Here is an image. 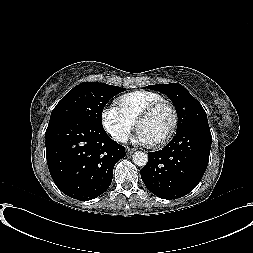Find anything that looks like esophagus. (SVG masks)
Listing matches in <instances>:
<instances>
[{"label": "esophagus", "instance_id": "1", "mask_svg": "<svg viewBox=\"0 0 253 253\" xmlns=\"http://www.w3.org/2000/svg\"><path fill=\"white\" fill-rule=\"evenodd\" d=\"M126 151H127V154L130 155V154H132L135 150H134V149L127 148Z\"/></svg>", "mask_w": 253, "mask_h": 253}]
</instances>
